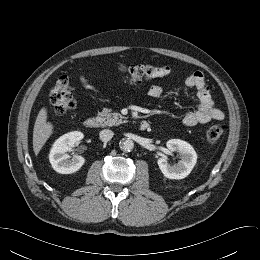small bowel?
<instances>
[{"label": "small bowel", "instance_id": "1", "mask_svg": "<svg viewBox=\"0 0 260 260\" xmlns=\"http://www.w3.org/2000/svg\"><path fill=\"white\" fill-rule=\"evenodd\" d=\"M171 73V68L168 66L157 68L153 77H164ZM83 85L92 89L89 82L86 79H82ZM185 85L189 88H195L198 93L199 105L196 110L190 111L185 114L182 119V123L187 127H193L198 124H205L212 120H223L225 115L222 110L215 107L213 99L211 97L210 90L206 84L203 73L195 71L185 79ZM164 90L160 85H152L148 90V95L151 98H160Z\"/></svg>", "mask_w": 260, "mask_h": 260}]
</instances>
